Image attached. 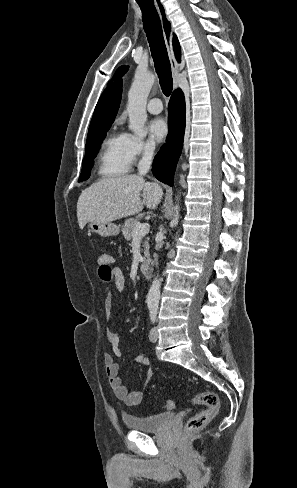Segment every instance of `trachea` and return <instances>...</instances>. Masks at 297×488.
I'll use <instances>...</instances> for the list:
<instances>
[{
  "instance_id": "1",
  "label": "trachea",
  "mask_w": 297,
  "mask_h": 488,
  "mask_svg": "<svg viewBox=\"0 0 297 488\" xmlns=\"http://www.w3.org/2000/svg\"><path fill=\"white\" fill-rule=\"evenodd\" d=\"M137 1L142 11L144 30L148 38L161 89L165 96H170L173 88V79L159 15L153 2Z\"/></svg>"
}]
</instances>
